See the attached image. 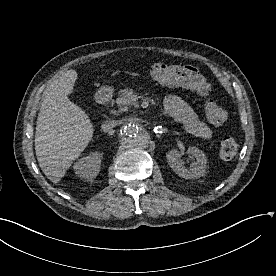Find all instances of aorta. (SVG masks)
Masks as SVG:
<instances>
[{
  "label": "aorta",
  "instance_id": "obj_1",
  "mask_svg": "<svg viewBox=\"0 0 276 276\" xmlns=\"http://www.w3.org/2000/svg\"><path fill=\"white\" fill-rule=\"evenodd\" d=\"M121 139L132 149H145L149 144V136L134 122L124 124L119 133Z\"/></svg>",
  "mask_w": 276,
  "mask_h": 276
}]
</instances>
